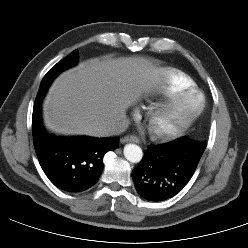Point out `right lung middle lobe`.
Here are the masks:
<instances>
[{
	"label": "right lung middle lobe",
	"instance_id": "right-lung-middle-lobe-1",
	"mask_svg": "<svg viewBox=\"0 0 248 248\" xmlns=\"http://www.w3.org/2000/svg\"><path fill=\"white\" fill-rule=\"evenodd\" d=\"M78 50H74L71 54H69L66 58L58 62L55 66H53L47 74L44 76L40 88L41 87H49L54 78L61 73L62 71L70 68L75 65L78 61Z\"/></svg>",
	"mask_w": 248,
	"mask_h": 248
}]
</instances>
